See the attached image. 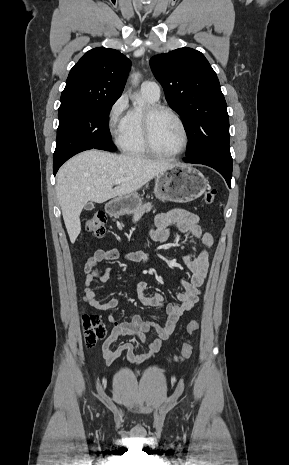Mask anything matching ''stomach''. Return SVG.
<instances>
[{
  "label": "stomach",
  "instance_id": "stomach-1",
  "mask_svg": "<svg viewBox=\"0 0 289 465\" xmlns=\"http://www.w3.org/2000/svg\"><path fill=\"white\" fill-rule=\"evenodd\" d=\"M204 175L192 167L173 164L155 178L154 194L162 201L185 203L199 198L207 189ZM142 204L137 193L117 197L107 204L114 215L131 214Z\"/></svg>",
  "mask_w": 289,
  "mask_h": 465
}]
</instances>
